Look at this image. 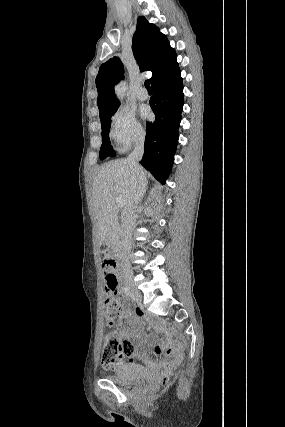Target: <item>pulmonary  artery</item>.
<instances>
[{
    "label": "pulmonary artery",
    "instance_id": "e3ab8cb5",
    "mask_svg": "<svg viewBox=\"0 0 285 427\" xmlns=\"http://www.w3.org/2000/svg\"><path fill=\"white\" fill-rule=\"evenodd\" d=\"M137 98L141 101L147 100L148 99V92L144 89V88H140L137 91Z\"/></svg>",
    "mask_w": 285,
    "mask_h": 427
}]
</instances>
